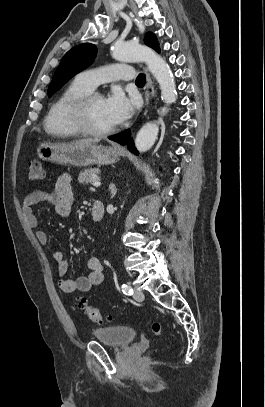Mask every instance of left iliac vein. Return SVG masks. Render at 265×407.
Instances as JSON below:
<instances>
[{
    "mask_svg": "<svg viewBox=\"0 0 265 407\" xmlns=\"http://www.w3.org/2000/svg\"><path fill=\"white\" fill-rule=\"evenodd\" d=\"M133 298L136 301H142L144 299V294H143V292L141 290L134 289Z\"/></svg>",
    "mask_w": 265,
    "mask_h": 407,
    "instance_id": "1",
    "label": "left iliac vein"
}]
</instances>
